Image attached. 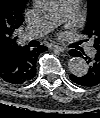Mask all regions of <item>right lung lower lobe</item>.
I'll list each match as a JSON object with an SVG mask.
<instances>
[{
	"label": "right lung lower lobe",
	"mask_w": 100,
	"mask_h": 118,
	"mask_svg": "<svg viewBox=\"0 0 100 118\" xmlns=\"http://www.w3.org/2000/svg\"><path fill=\"white\" fill-rule=\"evenodd\" d=\"M47 47L40 45L30 49L22 47L10 58L0 61V77L11 84H22L36 75V60Z\"/></svg>",
	"instance_id": "98d812e1"
}]
</instances>
